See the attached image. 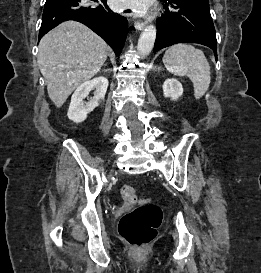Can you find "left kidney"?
Returning <instances> with one entry per match:
<instances>
[{
    "mask_svg": "<svg viewBox=\"0 0 261 273\" xmlns=\"http://www.w3.org/2000/svg\"><path fill=\"white\" fill-rule=\"evenodd\" d=\"M163 94L176 101L183 94L182 84L177 79H167L163 83Z\"/></svg>",
    "mask_w": 261,
    "mask_h": 273,
    "instance_id": "obj_1",
    "label": "left kidney"
}]
</instances>
